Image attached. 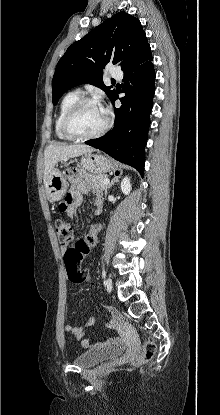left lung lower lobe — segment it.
Segmentation results:
<instances>
[{
    "label": "left lung lower lobe",
    "mask_w": 220,
    "mask_h": 415,
    "mask_svg": "<svg viewBox=\"0 0 220 415\" xmlns=\"http://www.w3.org/2000/svg\"><path fill=\"white\" fill-rule=\"evenodd\" d=\"M152 57L147 61L124 70L125 96L122 106L115 108L113 129L104 136L85 143L98 148L116 160L136 168L144 175V149L150 126V112L155 93V71ZM118 94L111 97L114 104Z\"/></svg>",
    "instance_id": "left-lung-lower-lobe-1"
}]
</instances>
